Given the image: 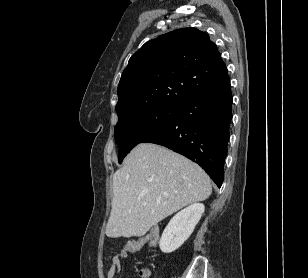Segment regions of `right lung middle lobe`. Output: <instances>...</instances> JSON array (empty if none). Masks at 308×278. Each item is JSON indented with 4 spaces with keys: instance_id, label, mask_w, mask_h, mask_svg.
Returning a JSON list of instances; mask_svg holds the SVG:
<instances>
[{
    "instance_id": "1",
    "label": "right lung middle lobe",
    "mask_w": 308,
    "mask_h": 278,
    "mask_svg": "<svg viewBox=\"0 0 308 278\" xmlns=\"http://www.w3.org/2000/svg\"><path fill=\"white\" fill-rule=\"evenodd\" d=\"M177 114L178 107L175 106L151 107L119 120L115 127V138L119 144V163L133 147L168 125Z\"/></svg>"
}]
</instances>
